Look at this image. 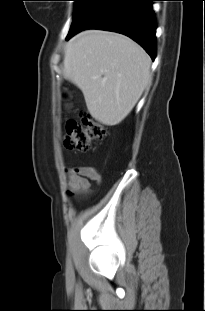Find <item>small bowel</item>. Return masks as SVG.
<instances>
[{"label":"small bowel","mask_w":205,"mask_h":311,"mask_svg":"<svg viewBox=\"0 0 205 311\" xmlns=\"http://www.w3.org/2000/svg\"><path fill=\"white\" fill-rule=\"evenodd\" d=\"M102 176L100 172L90 166H75L68 171V192L76 197H85L90 189L91 182L100 183Z\"/></svg>","instance_id":"c3829d8e"}]
</instances>
